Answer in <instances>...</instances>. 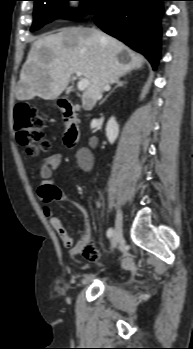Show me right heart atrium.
<instances>
[{"label":"right heart atrium","mask_w":193,"mask_h":349,"mask_svg":"<svg viewBox=\"0 0 193 349\" xmlns=\"http://www.w3.org/2000/svg\"><path fill=\"white\" fill-rule=\"evenodd\" d=\"M70 4L73 8H77L78 6V3L76 1H72Z\"/></svg>","instance_id":"1"}]
</instances>
